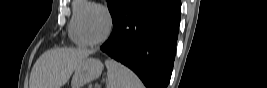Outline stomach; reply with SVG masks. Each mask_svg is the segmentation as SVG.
I'll return each instance as SVG.
<instances>
[{"label": "stomach", "mask_w": 267, "mask_h": 88, "mask_svg": "<svg viewBox=\"0 0 267 88\" xmlns=\"http://www.w3.org/2000/svg\"><path fill=\"white\" fill-rule=\"evenodd\" d=\"M103 69V64L95 58H85L78 63L71 81L72 88H81L86 83L97 79Z\"/></svg>", "instance_id": "stomach-1"}]
</instances>
